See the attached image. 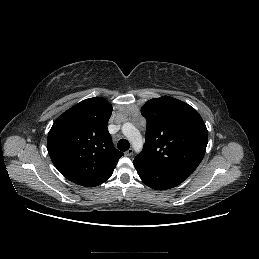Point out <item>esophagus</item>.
I'll return each instance as SVG.
<instances>
[{"label":"esophagus","instance_id":"1","mask_svg":"<svg viewBox=\"0 0 259 259\" xmlns=\"http://www.w3.org/2000/svg\"><path fill=\"white\" fill-rule=\"evenodd\" d=\"M133 154V149L132 148H129L126 152H125V155L126 156H131Z\"/></svg>","mask_w":259,"mask_h":259}]
</instances>
